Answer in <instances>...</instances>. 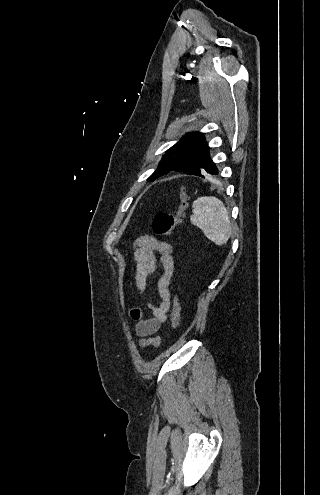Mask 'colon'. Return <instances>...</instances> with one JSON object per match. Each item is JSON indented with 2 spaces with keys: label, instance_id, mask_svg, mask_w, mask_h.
<instances>
[{
  "label": "colon",
  "instance_id": "1",
  "mask_svg": "<svg viewBox=\"0 0 320 495\" xmlns=\"http://www.w3.org/2000/svg\"><path fill=\"white\" fill-rule=\"evenodd\" d=\"M188 193L185 187L180 188V202L176 211L172 213L159 212L155 215L152 228L154 233L158 235L170 236L174 229L181 223L185 210L188 205ZM181 307L177 296L173 300V308L171 312V326L173 330H177L181 320Z\"/></svg>",
  "mask_w": 320,
  "mask_h": 495
}]
</instances>
